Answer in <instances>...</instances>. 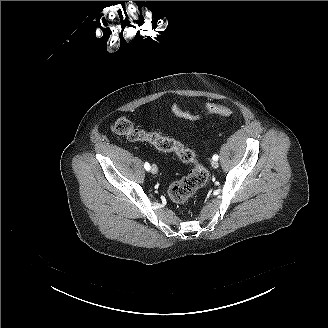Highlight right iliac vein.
I'll use <instances>...</instances> for the list:
<instances>
[{
    "mask_svg": "<svg viewBox=\"0 0 328 328\" xmlns=\"http://www.w3.org/2000/svg\"><path fill=\"white\" fill-rule=\"evenodd\" d=\"M157 172H158V168L155 164H153L151 167V173L156 174Z\"/></svg>",
    "mask_w": 328,
    "mask_h": 328,
    "instance_id": "1",
    "label": "right iliac vein"
}]
</instances>
